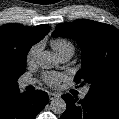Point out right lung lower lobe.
Returning <instances> with one entry per match:
<instances>
[{"label":"right lung lower lobe","mask_w":119,"mask_h":119,"mask_svg":"<svg viewBox=\"0 0 119 119\" xmlns=\"http://www.w3.org/2000/svg\"><path fill=\"white\" fill-rule=\"evenodd\" d=\"M49 98L46 92L18 93L0 110V119H35Z\"/></svg>","instance_id":"obj_1"}]
</instances>
